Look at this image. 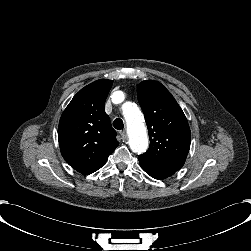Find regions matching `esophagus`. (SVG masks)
Wrapping results in <instances>:
<instances>
[{
  "label": "esophagus",
  "instance_id": "esophagus-1",
  "mask_svg": "<svg viewBox=\"0 0 251 251\" xmlns=\"http://www.w3.org/2000/svg\"><path fill=\"white\" fill-rule=\"evenodd\" d=\"M120 135L122 136L123 139H127V134L125 130L121 131Z\"/></svg>",
  "mask_w": 251,
  "mask_h": 251
}]
</instances>
